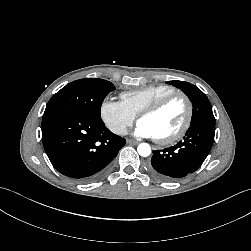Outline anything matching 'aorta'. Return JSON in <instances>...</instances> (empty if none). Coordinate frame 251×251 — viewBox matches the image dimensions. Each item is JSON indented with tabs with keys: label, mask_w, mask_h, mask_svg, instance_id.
<instances>
[{
	"label": "aorta",
	"mask_w": 251,
	"mask_h": 251,
	"mask_svg": "<svg viewBox=\"0 0 251 251\" xmlns=\"http://www.w3.org/2000/svg\"><path fill=\"white\" fill-rule=\"evenodd\" d=\"M137 151L140 156L147 157L151 154V147L147 143H141L138 145Z\"/></svg>",
	"instance_id": "obj_1"
}]
</instances>
